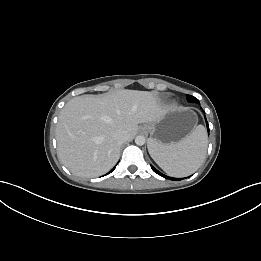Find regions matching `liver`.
<instances>
[{
	"instance_id": "liver-1",
	"label": "liver",
	"mask_w": 261,
	"mask_h": 261,
	"mask_svg": "<svg viewBox=\"0 0 261 261\" xmlns=\"http://www.w3.org/2000/svg\"><path fill=\"white\" fill-rule=\"evenodd\" d=\"M168 108L147 91L119 90L101 96L83 95L66 103L56 127L58 157L75 175L97 177L118 161L122 130L132 140L140 123H151Z\"/></svg>"
}]
</instances>
